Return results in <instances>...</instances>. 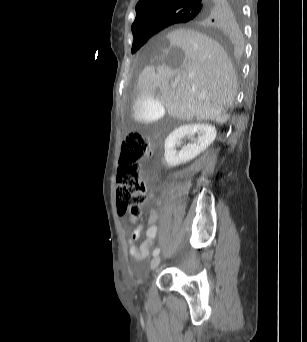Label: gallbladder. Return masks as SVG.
I'll return each mask as SVG.
<instances>
[{"label": "gallbladder", "mask_w": 307, "mask_h": 342, "mask_svg": "<svg viewBox=\"0 0 307 342\" xmlns=\"http://www.w3.org/2000/svg\"><path fill=\"white\" fill-rule=\"evenodd\" d=\"M134 99V118L138 123H156V118L164 116L160 99H154L152 95H136Z\"/></svg>", "instance_id": "obj_1"}]
</instances>
